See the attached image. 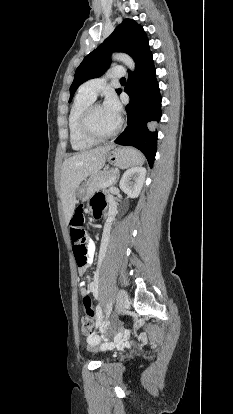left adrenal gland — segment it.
Instances as JSON below:
<instances>
[{
	"instance_id": "obj_1",
	"label": "left adrenal gland",
	"mask_w": 233,
	"mask_h": 414,
	"mask_svg": "<svg viewBox=\"0 0 233 414\" xmlns=\"http://www.w3.org/2000/svg\"><path fill=\"white\" fill-rule=\"evenodd\" d=\"M118 179H119V175L117 176V179L115 180L114 184L118 182Z\"/></svg>"
}]
</instances>
